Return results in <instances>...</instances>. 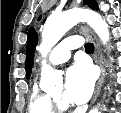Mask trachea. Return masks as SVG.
I'll return each instance as SVG.
<instances>
[{
  "label": "trachea",
  "mask_w": 121,
  "mask_h": 113,
  "mask_svg": "<svg viewBox=\"0 0 121 113\" xmlns=\"http://www.w3.org/2000/svg\"><path fill=\"white\" fill-rule=\"evenodd\" d=\"M85 50L87 53H92L94 51V45L92 43H87L85 45Z\"/></svg>",
  "instance_id": "obj_1"
}]
</instances>
